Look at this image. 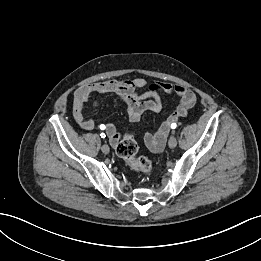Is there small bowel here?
<instances>
[{"label": "small bowel", "instance_id": "1", "mask_svg": "<svg viewBox=\"0 0 261 261\" xmlns=\"http://www.w3.org/2000/svg\"><path fill=\"white\" fill-rule=\"evenodd\" d=\"M161 92L174 93L180 99L175 112L154 133H146L144 135L145 143L150 150L161 151L165 146L171 122L186 116L196 102L195 93L186 86L169 82L147 84L143 78L139 77L125 80L109 79L92 83L80 88L75 93L74 118L83 130H93L95 126L94 120L83 116L85 104L90 101L93 94L113 93L125 104L129 119L135 122L141 118L145 111L160 112L162 110ZM104 126L105 129L103 130H105L110 143L116 146L121 140V134L118 133L113 124Z\"/></svg>", "mask_w": 261, "mask_h": 261}]
</instances>
